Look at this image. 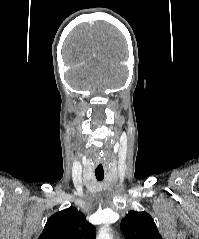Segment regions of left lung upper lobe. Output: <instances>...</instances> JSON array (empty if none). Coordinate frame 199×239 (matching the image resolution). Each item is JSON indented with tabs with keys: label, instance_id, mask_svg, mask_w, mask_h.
Here are the masks:
<instances>
[{
	"label": "left lung upper lobe",
	"instance_id": "5c2ea615",
	"mask_svg": "<svg viewBox=\"0 0 199 239\" xmlns=\"http://www.w3.org/2000/svg\"><path fill=\"white\" fill-rule=\"evenodd\" d=\"M125 239H163L152 217L146 212L130 211L121 221Z\"/></svg>",
	"mask_w": 199,
	"mask_h": 239
}]
</instances>
